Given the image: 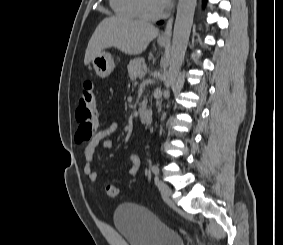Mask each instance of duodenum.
<instances>
[{"mask_svg":"<svg viewBox=\"0 0 283 245\" xmlns=\"http://www.w3.org/2000/svg\"><path fill=\"white\" fill-rule=\"evenodd\" d=\"M139 120L143 124H149L152 121V111L148 108L142 109L139 112Z\"/></svg>","mask_w":283,"mask_h":245,"instance_id":"410a0bca","label":"duodenum"}]
</instances>
